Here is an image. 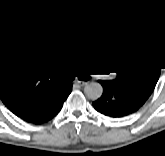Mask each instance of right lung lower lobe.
<instances>
[{"label":"right lung lower lobe","mask_w":165,"mask_h":156,"mask_svg":"<svg viewBox=\"0 0 165 156\" xmlns=\"http://www.w3.org/2000/svg\"><path fill=\"white\" fill-rule=\"evenodd\" d=\"M71 91L72 84H67V87L62 91V93L48 106L29 116L23 117L22 119L33 124H43L48 122L61 110L64 101L67 99Z\"/></svg>","instance_id":"1"}]
</instances>
